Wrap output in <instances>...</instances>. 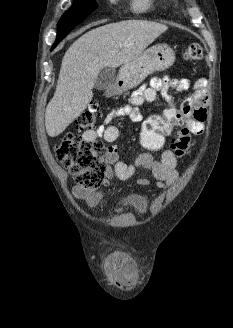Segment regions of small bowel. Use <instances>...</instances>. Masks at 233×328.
<instances>
[{
  "label": "small bowel",
  "mask_w": 233,
  "mask_h": 328,
  "mask_svg": "<svg viewBox=\"0 0 233 328\" xmlns=\"http://www.w3.org/2000/svg\"><path fill=\"white\" fill-rule=\"evenodd\" d=\"M192 88L193 93L178 108L184 117L190 132L200 135L204 132L205 121L207 119V80L197 79L193 85L188 79H175L168 76L154 77L148 86H143L135 90L127 104L112 110L105 118L103 124L94 130L85 131L82 137L87 141H96L104 138L106 142H115L119 137V129L111 125L116 117H128L132 121H140L142 118L139 107L145 103H157L160 97L171 100L169 89L185 91ZM175 109V108H172ZM107 162L109 167L106 171L104 185L117 177L126 180L132 177L136 170L149 171L155 180L158 188L173 185L178 179L176 170L177 158L171 149H165L160 159H155L151 153L139 154L133 163L128 164L118 159L117 149L109 147L107 150ZM137 183L146 186L150 182L147 178H139ZM73 197L76 200L84 201L89 207L97 206L104 198L102 190H87L80 186L72 189ZM107 268L110 272V281L116 287L129 286L134 283L136 276V264L132 256L125 251H117L106 260Z\"/></svg>",
  "instance_id": "obj_1"
}]
</instances>
